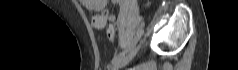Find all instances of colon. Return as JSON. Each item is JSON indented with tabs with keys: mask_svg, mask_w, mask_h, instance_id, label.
I'll return each mask as SVG.
<instances>
[{
	"mask_svg": "<svg viewBox=\"0 0 238 70\" xmlns=\"http://www.w3.org/2000/svg\"><path fill=\"white\" fill-rule=\"evenodd\" d=\"M111 23L108 27H107V37L110 39V40H113L114 37H115V33H116V29H117V26L115 25L116 23V20L115 19H112L111 20Z\"/></svg>",
	"mask_w": 238,
	"mask_h": 70,
	"instance_id": "5ec220e1",
	"label": "colon"
}]
</instances>
